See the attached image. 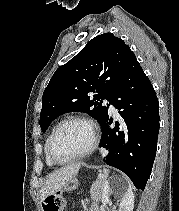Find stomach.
<instances>
[{
  "mask_svg": "<svg viewBox=\"0 0 179 211\" xmlns=\"http://www.w3.org/2000/svg\"><path fill=\"white\" fill-rule=\"evenodd\" d=\"M78 180L76 178H72L66 185L65 187L61 190V192H69L72 190H75L78 187Z\"/></svg>",
  "mask_w": 179,
  "mask_h": 211,
  "instance_id": "0dacf381",
  "label": "stomach"
}]
</instances>
